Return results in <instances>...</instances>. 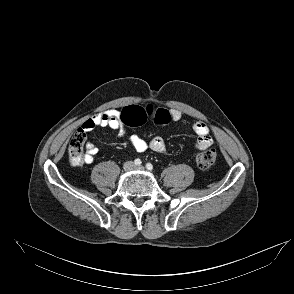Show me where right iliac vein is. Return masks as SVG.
Masks as SVG:
<instances>
[{
	"instance_id": "right-iliac-vein-1",
	"label": "right iliac vein",
	"mask_w": 294,
	"mask_h": 294,
	"mask_svg": "<svg viewBox=\"0 0 294 294\" xmlns=\"http://www.w3.org/2000/svg\"><path fill=\"white\" fill-rule=\"evenodd\" d=\"M133 167H134V165H133V163H131V162H127V163L124 165V169H125L126 171H130V170H132Z\"/></svg>"
}]
</instances>
